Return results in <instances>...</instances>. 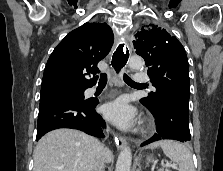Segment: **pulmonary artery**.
<instances>
[{
    "label": "pulmonary artery",
    "mask_w": 223,
    "mask_h": 171,
    "mask_svg": "<svg viewBox=\"0 0 223 171\" xmlns=\"http://www.w3.org/2000/svg\"><path fill=\"white\" fill-rule=\"evenodd\" d=\"M134 79H135V81L137 83H140V84H144V83H146L148 81L147 75L145 73H143V72L136 73L135 76H134ZM90 91L92 93H94L96 91V89L92 88Z\"/></svg>",
    "instance_id": "1"
}]
</instances>
